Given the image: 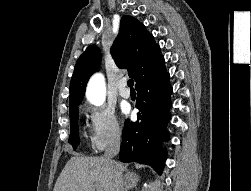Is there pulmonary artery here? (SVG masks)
Here are the masks:
<instances>
[{
	"label": "pulmonary artery",
	"mask_w": 251,
	"mask_h": 191,
	"mask_svg": "<svg viewBox=\"0 0 251 191\" xmlns=\"http://www.w3.org/2000/svg\"><path fill=\"white\" fill-rule=\"evenodd\" d=\"M118 92L123 98H126V99L130 98L131 92L129 88L127 87V81L125 78H122L120 80L119 85H118Z\"/></svg>",
	"instance_id": "obj_1"
}]
</instances>
